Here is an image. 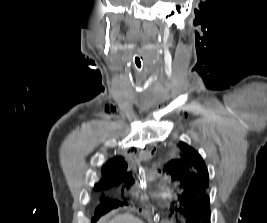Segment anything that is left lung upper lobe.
Masks as SVG:
<instances>
[{
  "mask_svg": "<svg viewBox=\"0 0 267 223\" xmlns=\"http://www.w3.org/2000/svg\"><path fill=\"white\" fill-rule=\"evenodd\" d=\"M182 152L168 162L165 170L172 175V180L181 182L185 191V201L171 203L164 209V214H188L202 223H210V202L206 195L209 175L205 163L199 153L184 142L179 143ZM181 200V196H179ZM198 221H194L197 223Z\"/></svg>",
  "mask_w": 267,
  "mask_h": 223,
  "instance_id": "5c2ea615",
  "label": "left lung upper lobe"
}]
</instances>
